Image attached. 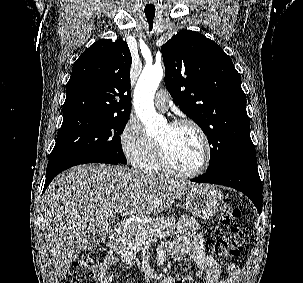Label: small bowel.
<instances>
[{
	"label": "small bowel",
	"mask_w": 303,
	"mask_h": 283,
	"mask_svg": "<svg viewBox=\"0 0 303 283\" xmlns=\"http://www.w3.org/2000/svg\"><path fill=\"white\" fill-rule=\"evenodd\" d=\"M188 254L199 269V277L203 283H237L241 271L239 267L228 262L227 276L221 279V265L214 257L206 254L202 234L197 223L190 217H182L177 224L174 240L161 244L157 251V261L163 262L168 257ZM117 262L114 255H108L99 265L97 279L99 283H110L113 276L109 273L110 266ZM181 277L168 276L161 283H180Z\"/></svg>",
	"instance_id": "c3829d8e"
}]
</instances>
